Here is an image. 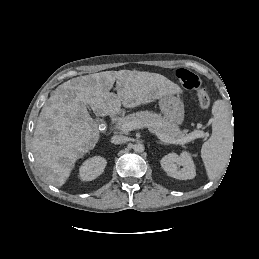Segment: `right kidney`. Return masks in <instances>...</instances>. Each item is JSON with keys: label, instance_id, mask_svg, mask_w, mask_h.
<instances>
[{"label": "right kidney", "instance_id": "right-kidney-1", "mask_svg": "<svg viewBox=\"0 0 259 259\" xmlns=\"http://www.w3.org/2000/svg\"><path fill=\"white\" fill-rule=\"evenodd\" d=\"M106 160L101 156H95L86 160L79 169L80 178L83 181H92L104 172Z\"/></svg>", "mask_w": 259, "mask_h": 259}]
</instances>
